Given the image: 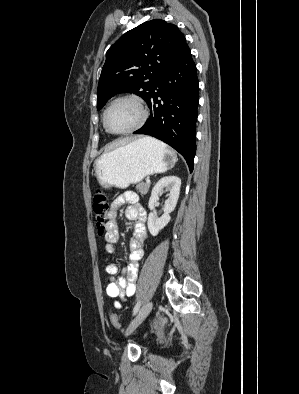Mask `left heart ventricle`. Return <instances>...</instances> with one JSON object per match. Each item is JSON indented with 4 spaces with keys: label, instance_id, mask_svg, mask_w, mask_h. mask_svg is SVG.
Listing matches in <instances>:
<instances>
[{
    "label": "left heart ventricle",
    "instance_id": "left-heart-ventricle-1",
    "mask_svg": "<svg viewBox=\"0 0 299 394\" xmlns=\"http://www.w3.org/2000/svg\"><path fill=\"white\" fill-rule=\"evenodd\" d=\"M140 118L138 107L130 101H119L107 114V125L115 132L127 130L134 126Z\"/></svg>",
    "mask_w": 299,
    "mask_h": 394
}]
</instances>
